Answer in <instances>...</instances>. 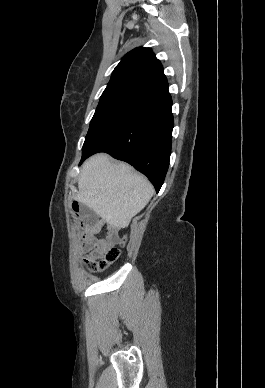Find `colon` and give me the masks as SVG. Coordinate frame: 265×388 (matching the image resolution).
Segmentation results:
<instances>
[{
	"label": "colon",
	"mask_w": 265,
	"mask_h": 388,
	"mask_svg": "<svg viewBox=\"0 0 265 388\" xmlns=\"http://www.w3.org/2000/svg\"><path fill=\"white\" fill-rule=\"evenodd\" d=\"M72 208H73L74 211L77 212L78 211V204L77 203H73ZM119 254H120L119 249L111 248L106 253V255H105L103 260L87 262L88 268L90 269V271H93V272L102 271L105 268H107L111 263H113L115 260H117L118 257H119Z\"/></svg>",
	"instance_id": "colon-1"
}]
</instances>
